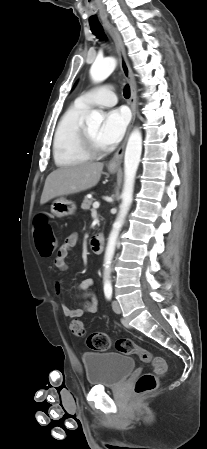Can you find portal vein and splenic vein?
<instances>
[{
  "instance_id": "18ae733b",
  "label": "portal vein and splenic vein",
  "mask_w": 207,
  "mask_h": 449,
  "mask_svg": "<svg viewBox=\"0 0 207 449\" xmlns=\"http://www.w3.org/2000/svg\"><path fill=\"white\" fill-rule=\"evenodd\" d=\"M100 206V203L98 201L93 203V210L97 209Z\"/></svg>"
}]
</instances>
